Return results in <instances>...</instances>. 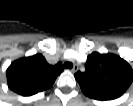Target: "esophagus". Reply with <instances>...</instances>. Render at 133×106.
Masks as SVG:
<instances>
[{
	"instance_id": "34e87169",
	"label": "esophagus",
	"mask_w": 133,
	"mask_h": 106,
	"mask_svg": "<svg viewBox=\"0 0 133 106\" xmlns=\"http://www.w3.org/2000/svg\"><path fill=\"white\" fill-rule=\"evenodd\" d=\"M77 70H78V66L75 64V65L72 67L71 71H72L73 73H75Z\"/></svg>"
}]
</instances>
